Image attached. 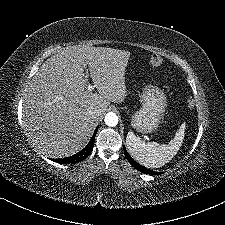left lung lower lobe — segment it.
<instances>
[{
  "mask_svg": "<svg viewBox=\"0 0 225 225\" xmlns=\"http://www.w3.org/2000/svg\"><path fill=\"white\" fill-rule=\"evenodd\" d=\"M124 153H125V156L127 157L128 161L130 162V164H131L133 167H135L137 170H139V171H141V172H143V173H146V174H148V173H149V174H156V172L150 171V170L146 169L145 167L140 166L137 162H135V161L130 157V155L128 154V152L126 151L125 148H124ZM157 174H159V173L157 172Z\"/></svg>",
  "mask_w": 225,
  "mask_h": 225,
  "instance_id": "1",
  "label": "left lung lower lobe"
}]
</instances>
